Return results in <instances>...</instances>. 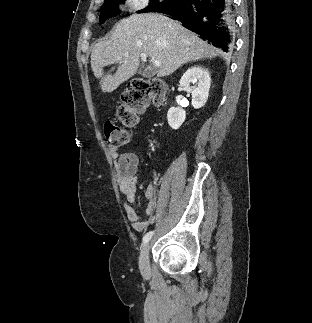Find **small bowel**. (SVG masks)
Masks as SVG:
<instances>
[{
	"label": "small bowel",
	"instance_id": "obj_1",
	"mask_svg": "<svg viewBox=\"0 0 312 323\" xmlns=\"http://www.w3.org/2000/svg\"><path fill=\"white\" fill-rule=\"evenodd\" d=\"M111 156L115 161L118 186L125 196L123 208L127 219L136 231H142L153 224L158 217L157 196L155 186H147L145 194L147 199V208L143 215H139L135 210L136 203V179L139 172V159L135 154H120L115 148H112Z\"/></svg>",
	"mask_w": 312,
	"mask_h": 323
}]
</instances>
